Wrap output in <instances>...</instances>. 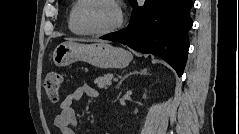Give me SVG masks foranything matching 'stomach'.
Returning a JSON list of instances; mask_svg holds the SVG:
<instances>
[{
    "mask_svg": "<svg viewBox=\"0 0 239 134\" xmlns=\"http://www.w3.org/2000/svg\"><path fill=\"white\" fill-rule=\"evenodd\" d=\"M53 62L58 67L84 61L102 69L125 68L132 60L127 50L108 43L83 44L68 41L59 44L53 51Z\"/></svg>",
    "mask_w": 239,
    "mask_h": 134,
    "instance_id": "1",
    "label": "stomach"
}]
</instances>
